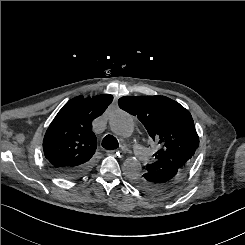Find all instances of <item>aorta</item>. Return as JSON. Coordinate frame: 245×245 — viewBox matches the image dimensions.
<instances>
[{"label": "aorta", "instance_id": "1", "mask_svg": "<svg viewBox=\"0 0 245 245\" xmlns=\"http://www.w3.org/2000/svg\"><path fill=\"white\" fill-rule=\"evenodd\" d=\"M110 130L118 137L128 138L133 134L134 122L132 117L124 112H115L109 120ZM141 163L132 157L127 158L123 163L124 174L129 179H134L141 174Z\"/></svg>", "mask_w": 245, "mask_h": 245}]
</instances>
